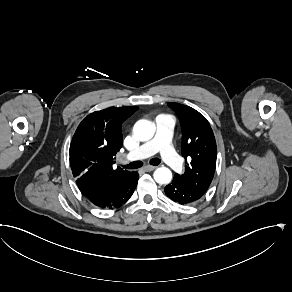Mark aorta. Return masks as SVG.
I'll return each mask as SVG.
<instances>
[{
    "mask_svg": "<svg viewBox=\"0 0 292 292\" xmlns=\"http://www.w3.org/2000/svg\"><path fill=\"white\" fill-rule=\"evenodd\" d=\"M134 135L141 141H147L154 135L155 128L150 121L139 120L133 128ZM154 179L160 184H167L172 179V172L168 167H159L154 172Z\"/></svg>",
    "mask_w": 292,
    "mask_h": 292,
    "instance_id": "762f6f07",
    "label": "aorta"
}]
</instances>
